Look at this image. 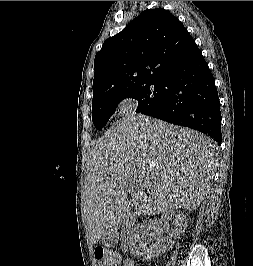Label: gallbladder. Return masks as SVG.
Returning a JSON list of instances; mask_svg holds the SVG:
<instances>
[{"instance_id": "gallbladder-1", "label": "gallbladder", "mask_w": 253, "mask_h": 266, "mask_svg": "<svg viewBox=\"0 0 253 266\" xmlns=\"http://www.w3.org/2000/svg\"><path fill=\"white\" fill-rule=\"evenodd\" d=\"M130 191L133 192V189L130 188V187H128V188H127V192H130Z\"/></svg>"}]
</instances>
